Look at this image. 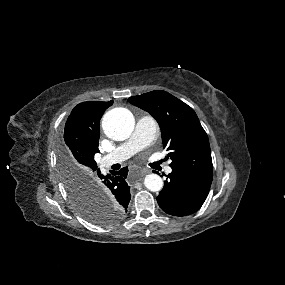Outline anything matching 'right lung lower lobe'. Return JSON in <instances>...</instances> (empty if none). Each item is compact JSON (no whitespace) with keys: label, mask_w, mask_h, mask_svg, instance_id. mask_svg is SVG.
I'll return each mask as SVG.
<instances>
[{"label":"right lung lower lobe","mask_w":285,"mask_h":285,"mask_svg":"<svg viewBox=\"0 0 285 285\" xmlns=\"http://www.w3.org/2000/svg\"><path fill=\"white\" fill-rule=\"evenodd\" d=\"M128 168L124 167L111 175H104L100 169L91 176L89 188L94 189L100 197L109 200L110 203L117 206L123 213L127 211L131 199L130 187L127 185L125 178Z\"/></svg>","instance_id":"right-lung-lower-lobe-1"}]
</instances>
